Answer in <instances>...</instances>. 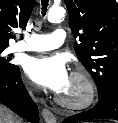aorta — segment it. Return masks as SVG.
I'll use <instances>...</instances> for the list:
<instances>
[{
	"label": "aorta",
	"mask_w": 118,
	"mask_h": 123,
	"mask_svg": "<svg viewBox=\"0 0 118 123\" xmlns=\"http://www.w3.org/2000/svg\"><path fill=\"white\" fill-rule=\"evenodd\" d=\"M65 16V9L59 6H52L48 11L50 22L61 20Z\"/></svg>",
	"instance_id": "obj_1"
}]
</instances>
